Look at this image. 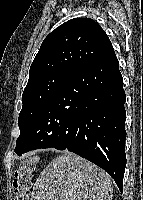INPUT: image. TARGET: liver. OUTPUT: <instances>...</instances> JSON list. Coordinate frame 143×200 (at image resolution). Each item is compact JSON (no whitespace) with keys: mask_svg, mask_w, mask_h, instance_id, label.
Segmentation results:
<instances>
[{"mask_svg":"<svg viewBox=\"0 0 143 200\" xmlns=\"http://www.w3.org/2000/svg\"><path fill=\"white\" fill-rule=\"evenodd\" d=\"M110 176L69 151L54 158L37 178L31 200H111Z\"/></svg>","mask_w":143,"mask_h":200,"instance_id":"1","label":"liver"}]
</instances>
